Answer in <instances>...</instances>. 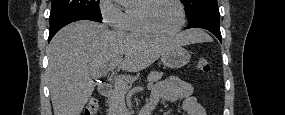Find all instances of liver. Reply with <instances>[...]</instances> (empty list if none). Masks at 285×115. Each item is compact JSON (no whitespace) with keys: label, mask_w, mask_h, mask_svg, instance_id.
<instances>
[{"label":"liver","mask_w":285,"mask_h":115,"mask_svg":"<svg viewBox=\"0 0 285 115\" xmlns=\"http://www.w3.org/2000/svg\"><path fill=\"white\" fill-rule=\"evenodd\" d=\"M203 34L193 29L170 38L150 39L114 32L88 20L65 26L47 47L54 115H80L94 91L92 79L101 77L107 65L120 62L123 70L137 72L174 46L203 41Z\"/></svg>","instance_id":"1"}]
</instances>
